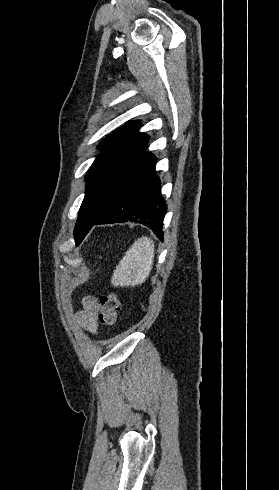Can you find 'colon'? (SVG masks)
Instances as JSON below:
<instances>
[{
  "label": "colon",
  "instance_id": "colon-1",
  "mask_svg": "<svg viewBox=\"0 0 279 490\" xmlns=\"http://www.w3.org/2000/svg\"><path fill=\"white\" fill-rule=\"evenodd\" d=\"M98 321L100 324L112 327L120 320L121 303L118 295L112 291L105 292L100 297Z\"/></svg>",
  "mask_w": 279,
  "mask_h": 490
}]
</instances>
